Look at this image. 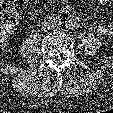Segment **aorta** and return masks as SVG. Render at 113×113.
I'll use <instances>...</instances> for the list:
<instances>
[{"instance_id":"1","label":"aorta","mask_w":113,"mask_h":113,"mask_svg":"<svg viewBox=\"0 0 113 113\" xmlns=\"http://www.w3.org/2000/svg\"><path fill=\"white\" fill-rule=\"evenodd\" d=\"M67 24H68V26L69 27H76V25H77V21H76V18L73 16V17H71V18H69L68 20H67Z\"/></svg>"}]
</instances>
